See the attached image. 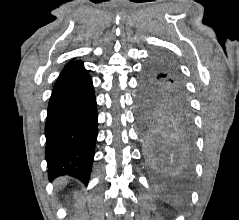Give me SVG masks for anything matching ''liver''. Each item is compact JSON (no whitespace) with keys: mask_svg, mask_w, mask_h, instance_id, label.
I'll use <instances>...</instances> for the list:
<instances>
[{"mask_svg":"<svg viewBox=\"0 0 239 220\" xmlns=\"http://www.w3.org/2000/svg\"><path fill=\"white\" fill-rule=\"evenodd\" d=\"M67 182V178L63 177V178H59L55 181L56 185H65Z\"/></svg>","mask_w":239,"mask_h":220,"instance_id":"1","label":"liver"}]
</instances>
